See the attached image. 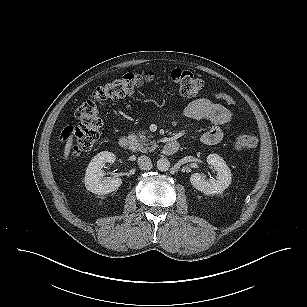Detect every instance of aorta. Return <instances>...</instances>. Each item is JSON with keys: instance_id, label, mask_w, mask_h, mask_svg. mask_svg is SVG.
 I'll list each match as a JSON object with an SVG mask.
<instances>
[{"instance_id": "762f6f07", "label": "aorta", "mask_w": 307, "mask_h": 307, "mask_svg": "<svg viewBox=\"0 0 307 307\" xmlns=\"http://www.w3.org/2000/svg\"><path fill=\"white\" fill-rule=\"evenodd\" d=\"M157 168L160 171H167L170 168V162L167 158H160L157 161Z\"/></svg>"}]
</instances>
